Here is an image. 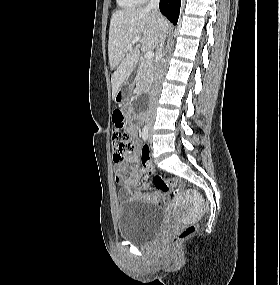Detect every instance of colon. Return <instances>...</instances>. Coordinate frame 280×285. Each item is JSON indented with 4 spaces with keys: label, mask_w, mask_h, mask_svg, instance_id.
Here are the masks:
<instances>
[{
    "label": "colon",
    "mask_w": 280,
    "mask_h": 285,
    "mask_svg": "<svg viewBox=\"0 0 280 285\" xmlns=\"http://www.w3.org/2000/svg\"><path fill=\"white\" fill-rule=\"evenodd\" d=\"M113 121L115 124V127L112 130L114 158L116 162H122L125 158V154L134 148V143L130 135L122 129L124 122V115L122 110L117 109L114 112ZM147 159H150L148 147H146V149H143L141 153V160L145 161ZM154 182L160 189L165 191H172L174 194H178L186 188L185 184L181 180L164 179L159 175H156L154 177ZM195 230L196 228L194 225H187L178 234L169 238L168 243L170 245H176L193 235L195 233Z\"/></svg>",
    "instance_id": "1"
}]
</instances>
